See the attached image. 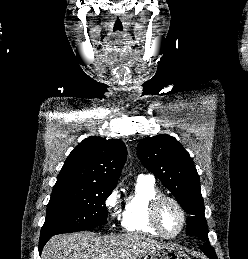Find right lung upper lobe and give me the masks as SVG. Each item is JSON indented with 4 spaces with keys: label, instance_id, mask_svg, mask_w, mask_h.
<instances>
[{
    "label": "right lung upper lobe",
    "instance_id": "right-lung-upper-lobe-1",
    "mask_svg": "<svg viewBox=\"0 0 248 259\" xmlns=\"http://www.w3.org/2000/svg\"><path fill=\"white\" fill-rule=\"evenodd\" d=\"M126 157L127 149L122 141L89 137L71 151L54 186L116 187Z\"/></svg>",
    "mask_w": 248,
    "mask_h": 259
}]
</instances>
